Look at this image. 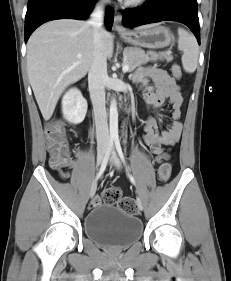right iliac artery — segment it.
Segmentation results:
<instances>
[{
    "label": "right iliac artery",
    "instance_id": "1",
    "mask_svg": "<svg viewBox=\"0 0 231 281\" xmlns=\"http://www.w3.org/2000/svg\"><path fill=\"white\" fill-rule=\"evenodd\" d=\"M113 141H114L113 138H111L109 140L107 151L105 153V156H104V158L102 160V163H101V166H100V170L97 173V176H96V179H95L96 181L102 176V174L104 173V171L106 169V166H107V163H108V159H109V156H110V153H111V149L113 147Z\"/></svg>",
    "mask_w": 231,
    "mask_h": 281
}]
</instances>
